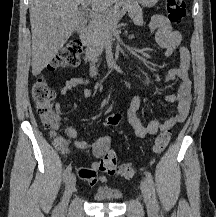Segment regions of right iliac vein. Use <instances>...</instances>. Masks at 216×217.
I'll return each instance as SVG.
<instances>
[{"instance_id": "obj_1", "label": "right iliac vein", "mask_w": 216, "mask_h": 217, "mask_svg": "<svg viewBox=\"0 0 216 217\" xmlns=\"http://www.w3.org/2000/svg\"><path fill=\"white\" fill-rule=\"evenodd\" d=\"M76 178L74 174H71L66 181L65 192L62 201L59 206V212L64 213L67 210L69 199L75 189Z\"/></svg>"}]
</instances>
